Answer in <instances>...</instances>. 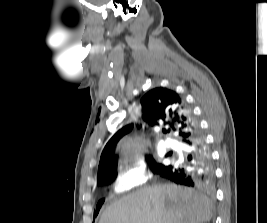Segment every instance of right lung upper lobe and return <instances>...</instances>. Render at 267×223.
I'll return each mask as SVG.
<instances>
[{
    "instance_id": "obj_1",
    "label": "right lung upper lobe",
    "mask_w": 267,
    "mask_h": 223,
    "mask_svg": "<svg viewBox=\"0 0 267 223\" xmlns=\"http://www.w3.org/2000/svg\"><path fill=\"white\" fill-rule=\"evenodd\" d=\"M143 120L149 126H168L182 141H186L197 124L191 111L181 97L173 90L158 87L148 91L141 99ZM133 129V124L119 130L106 144L99 163L98 178L111 168L117 167L118 157L113 156L118 141Z\"/></svg>"
}]
</instances>
